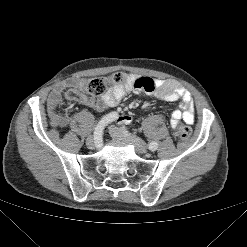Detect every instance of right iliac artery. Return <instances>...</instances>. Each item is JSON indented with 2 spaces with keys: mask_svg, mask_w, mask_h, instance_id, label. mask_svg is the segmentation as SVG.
<instances>
[{
  "mask_svg": "<svg viewBox=\"0 0 247 247\" xmlns=\"http://www.w3.org/2000/svg\"><path fill=\"white\" fill-rule=\"evenodd\" d=\"M117 118H118V114L116 112H111V113L103 116V118L98 122V124L96 125L95 130H94V140H96L95 141L96 149L99 150V149L103 148V146H104L101 137H102V133H103L105 126L108 125L109 123L113 122Z\"/></svg>",
  "mask_w": 247,
  "mask_h": 247,
  "instance_id": "right-iliac-artery-1",
  "label": "right iliac artery"
}]
</instances>
